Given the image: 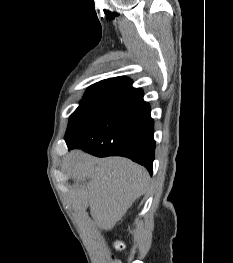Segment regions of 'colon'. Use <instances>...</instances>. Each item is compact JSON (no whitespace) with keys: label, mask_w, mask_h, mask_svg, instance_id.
<instances>
[{"label":"colon","mask_w":233,"mask_h":263,"mask_svg":"<svg viewBox=\"0 0 233 263\" xmlns=\"http://www.w3.org/2000/svg\"><path fill=\"white\" fill-rule=\"evenodd\" d=\"M115 247L117 248V249H119V250H121V249H123V244L121 243V242H117L116 244H115ZM117 263H119V262H117Z\"/></svg>","instance_id":"colon-1"}]
</instances>
